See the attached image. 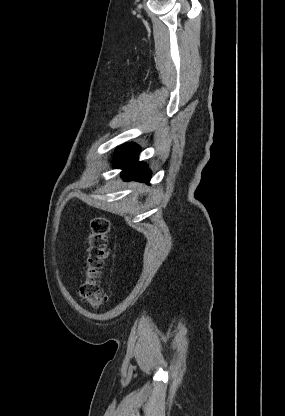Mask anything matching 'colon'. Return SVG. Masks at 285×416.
<instances>
[{"label":"colon","mask_w":285,"mask_h":416,"mask_svg":"<svg viewBox=\"0 0 285 416\" xmlns=\"http://www.w3.org/2000/svg\"><path fill=\"white\" fill-rule=\"evenodd\" d=\"M110 228V221L105 217H96L90 224L86 276L79 294L94 308L104 305L107 301V296L100 286V274L109 254Z\"/></svg>","instance_id":"colon-1"}]
</instances>
